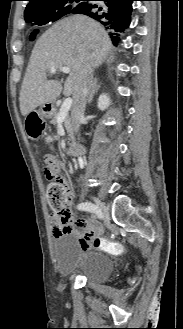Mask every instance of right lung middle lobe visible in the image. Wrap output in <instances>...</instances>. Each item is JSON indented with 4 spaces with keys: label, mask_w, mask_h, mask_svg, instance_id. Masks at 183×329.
Wrapping results in <instances>:
<instances>
[{
    "label": "right lung middle lobe",
    "mask_w": 183,
    "mask_h": 329,
    "mask_svg": "<svg viewBox=\"0 0 183 329\" xmlns=\"http://www.w3.org/2000/svg\"><path fill=\"white\" fill-rule=\"evenodd\" d=\"M83 0H65L60 3L54 4L49 10L48 14L41 18H29L25 21L32 23L33 25H45L49 22H54L63 17L66 14L72 13L74 10L82 6ZM80 2L79 4H76ZM37 32V31H35Z\"/></svg>",
    "instance_id": "right-lung-middle-lobe-1"
}]
</instances>
